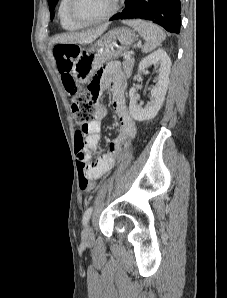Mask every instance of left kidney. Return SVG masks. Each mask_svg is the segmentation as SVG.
<instances>
[{"mask_svg": "<svg viewBox=\"0 0 227 298\" xmlns=\"http://www.w3.org/2000/svg\"><path fill=\"white\" fill-rule=\"evenodd\" d=\"M154 65L159 67L157 83L151 90V98L147 105L142 106L137 103L135 96V88L132 87L129 91L130 103L129 111L131 116L137 121H144L154 118L159 112L167 92L169 84V74L171 70V60L168 54L163 49H158L142 59L138 67V74L134 76V80L149 66Z\"/></svg>", "mask_w": 227, "mask_h": 298, "instance_id": "left-kidney-1", "label": "left kidney"}]
</instances>
